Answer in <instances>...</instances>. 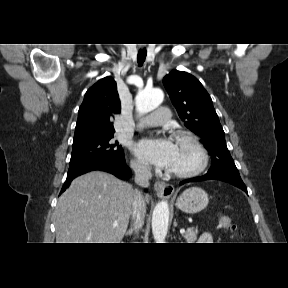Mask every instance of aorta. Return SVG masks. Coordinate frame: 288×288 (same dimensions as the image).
Returning a JSON list of instances; mask_svg holds the SVG:
<instances>
[{"label":"aorta","instance_id":"obj_1","mask_svg":"<svg viewBox=\"0 0 288 288\" xmlns=\"http://www.w3.org/2000/svg\"><path fill=\"white\" fill-rule=\"evenodd\" d=\"M164 94L160 89L140 91L135 99L136 110L146 114L157 108L163 101ZM169 205L166 201L159 202L152 214V233L156 243H164L168 232Z\"/></svg>","mask_w":288,"mask_h":288}]
</instances>
